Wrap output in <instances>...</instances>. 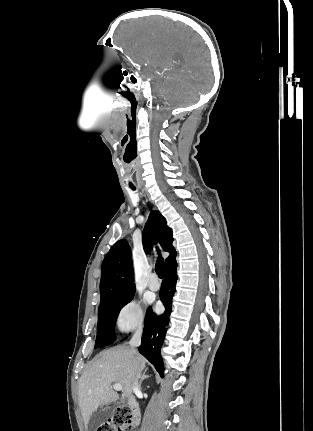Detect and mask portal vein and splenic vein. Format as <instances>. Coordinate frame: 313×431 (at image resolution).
Listing matches in <instances>:
<instances>
[{"label": "portal vein and splenic vein", "instance_id": "18ae733b", "mask_svg": "<svg viewBox=\"0 0 313 431\" xmlns=\"http://www.w3.org/2000/svg\"><path fill=\"white\" fill-rule=\"evenodd\" d=\"M113 389H114L115 391H122V385H121L120 383H115V384L113 385Z\"/></svg>", "mask_w": 313, "mask_h": 431}]
</instances>
